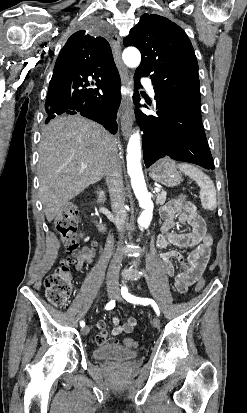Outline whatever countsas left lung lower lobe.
<instances>
[{
    "instance_id": "1",
    "label": "left lung lower lobe",
    "mask_w": 247,
    "mask_h": 413,
    "mask_svg": "<svg viewBox=\"0 0 247 413\" xmlns=\"http://www.w3.org/2000/svg\"><path fill=\"white\" fill-rule=\"evenodd\" d=\"M135 73L136 87L139 78ZM158 117L147 116L136 110L141 130L144 162L146 167L162 157L197 164L215 169L202 125L201 107L193 106L172 96H155ZM140 101L135 92L134 102ZM149 104V103H148ZM144 107L147 108L146 105Z\"/></svg>"
}]
</instances>
